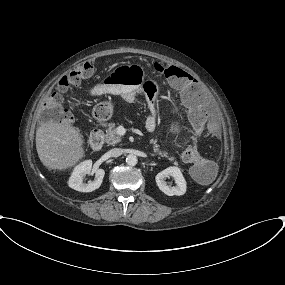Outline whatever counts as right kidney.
<instances>
[{
    "mask_svg": "<svg viewBox=\"0 0 285 285\" xmlns=\"http://www.w3.org/2000/svg\"><path fill=\"white\" fill-rule=\"evenodd\" d=\"M95 174V179L89 183H83L84 176ZM105 171L103 169H92V161L86 160L77 165L68 181L69 187L79 192H92L98 189L103 181Z\"/></svg>",
    "mask_w": 285,
    "mask_h": 285,
    "instance_id": "right-kidney-1",
    "label": "right kidney"
}]
</instances>
